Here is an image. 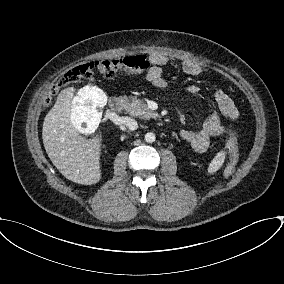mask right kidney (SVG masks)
I'll list each match as a JSON object with an SVG mask.
<instances>
[{
	"label": "right kidney",
	"instance_id": "right-kidney-1",
	"mask_svg": "<svg viewBox=\"0 0 284 284\" xmlns=\"http://www.w3.org/2000/svg\"><path fill=\"white\" fill-rule=\"evenodd\" d=\"M107 102L106 94L96 86H85L78 91L74 98L71 122L75 129L85 135L94 133L100 123L101 115L95 107H104Z\"/></svg>",
	"mask_w": 284,
	"mask_h": 284
}]
</instances>
